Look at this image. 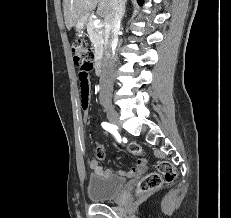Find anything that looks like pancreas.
Returning a JSON list of instances; mask_svg holds the SVG:
<instances>
[{
	"instance_id": "obj_1",
	"label": "pancreas",
	"mask_w": 231,
	"mask_h": 218,
	"mask_svg": "<svg viewBox=\"0 0 231 218\" xmlns=\"http://www.w3.org/2000/svg\"><path fill=\"white\" fill-rule=\"evenodd\" d=\"M88 35L94 44L96 53L101 52L103 48L104 31L101 26L95 27L94 20L89 18L86 24Z\"/></svg>"
}]
</instances>
